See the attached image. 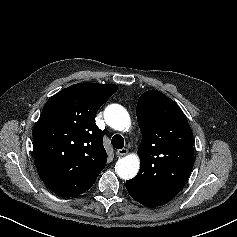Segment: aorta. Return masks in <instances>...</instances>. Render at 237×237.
<instances>
[{"label": "aorta", "instance_id": "1", "mask_svg": "<svg viewBox=\"0 0 237 237\" xmlns=\"http://www.w3.org/2000/svg\"><path fill=\"white\" fill-rule=\"evenodd\" d=\"M107 124L115 130L122 131L130 126V116L127 110L119 104H111L104 111ZM140 168L137 155L131 154L119 159L115 165L117 175L125 180L136 176Z\"/></svg>", "mask_w": 237, "mask_h": 237}]
</instances>
